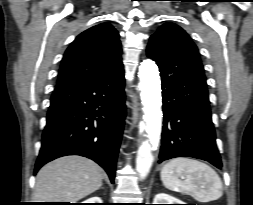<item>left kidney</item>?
Segmentation results:
<instances>
[{"mask_svg": "<svg viewBox=\"0 0 253 205\" xmlns=\"http://www.w3.org/2000/svg\"><path fill=\"white\" fill-rule=\"evenodd\" d=\"M153 204H185L181 200L165 193L157 194L153 200Z\"/></svg>", "mask_w": 253, "mask_h": 205, "instance_id": "left-kidney-1", "label": "left kidney"}]
</instances>
